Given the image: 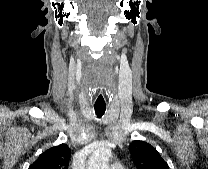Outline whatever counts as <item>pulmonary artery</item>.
Returning <instances> with one entry per match:
<instances>
[{
    "label": "pulmonary artery",
    "mask_w": 208,
    "mask_h": 169,
    "mask_svg": "<svg viewBox=\"0 0 208 169\" xmlns=\"http://www.w3.org/2000/svg\"><path fill=\"white\" fill-rule=\"evenodd\" d=\"M110 169H125V165L121 163H114L110 166Z\"/></svg>",
    "instance_id": "e3ab8cb5"
}]
</instances>
